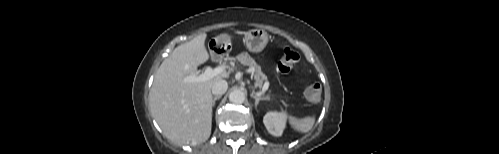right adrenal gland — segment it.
<instances>
[{
	"label": "right adrenal gland",
	"mask_w": 499,
	"mask_h": 154,
	"mask_svg": "<svg viewBox=\"0 0 499 154\" xmlns=\"http://www.w3.org/2000/svg\"><path fill=\"white\" fill-rule=\"evenodd\" d=\"M220 98H221V96H215V97L213 98L212 105L214 106V105H215L216 100H218V99H220Z\"/></svg>",
	"instance_id": "obj_1"
}]
</instances>
